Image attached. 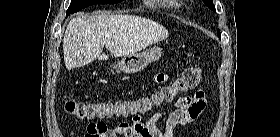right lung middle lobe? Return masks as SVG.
<instances>
[{"label":"right lung middle lobe","mask_w":280,"mask_h":137,"mask_svg":"<svg viewBox=\"0 0 280 137\" xmlns=\"http://www.w3.org/2000/svg\"><path fill=\"white\" fill-rule=\"evenodd\" d=\"M121 1L123 0H71L70 6L66 11V16L93 4H116Z\"/></svg>","instance_id":"dd1d6c3e"}]
</instances>
